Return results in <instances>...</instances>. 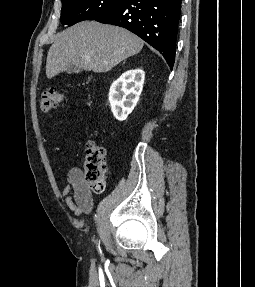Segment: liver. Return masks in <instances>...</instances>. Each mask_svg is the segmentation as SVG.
Returning a JSON list of instances; mask_svg holds the SVG:
<instances>
[{
  "mask_svg": "<svg viewBox=\"0 0 255 287\" xmlns=\"http://www.w3.org/2000/svg\"><path fill=\"white\" fill-rule=\"evenodd\" d=\"M143 44L125 28L80 22L56 34L47 54L46 76L51 80L71 64L87 72H109L122 60L139 54Z\"/></svg>",
  "mask_w": 255,
  "mask_h": 287,
  "instance_id": "1",
  "label": "liver"
}]
</instances>
